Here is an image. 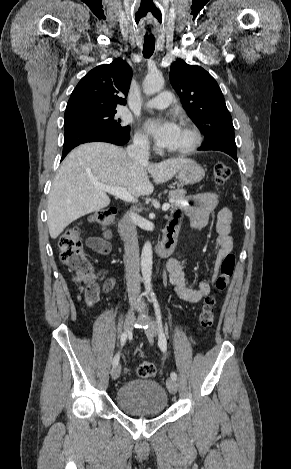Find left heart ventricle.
Wrapping results in <instances>:
<instances>
[{
  "instance_id": "b2bd125f",
  "label": "left heart ventricle",
  "mask_w": 291,
  "mask_h": 469,
  "mask_svg": "<svg viewBox=\"0 0 291 469\" xmlns=\"http://www.w3.org/2000/svg\"><path fill=\"white\" fill-rule=\"evenodd\" d=\"M191 140L192 136L189 130L185 127L180 126L174 141L168 147V149L174 150L184 148L191 142Z\"/></svg>"
}]
</instances>
